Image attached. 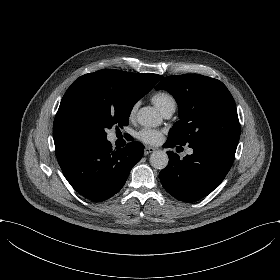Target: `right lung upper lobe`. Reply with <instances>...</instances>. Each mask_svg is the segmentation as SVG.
Segmentation results:
<instances>
[{
  "label": "right lung upper lobe",
  "instance_id": "1",
  "mask_svg": "<svg viewBox=\"0 0 280 280\" xmlns=\"http://www.w3.org/2000/svg\"><path fill=\"white\" fill-rule=\"evenodd\" d=\"M162 78L157 74L113 69H103L79 77L66 91L55 116L53 138L56 157L91 142L89 134L79 125L77 114L92 99L110 98L133 107Z\"/></svg>",
  "mask_w": 280,
  "mask_h": 280
}]
</instances>
